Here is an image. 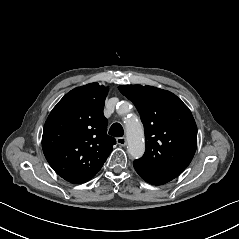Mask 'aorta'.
<instances>
[{"instance_id": "obj_1", "label": "aorta", "mask_w": 239, "mask_h": 239, "mask_svg": "<svg viewBox=\"0 0 239 239\" xmlns=\"http://www.w3.org/2000/svg\"><path fill=\"white\" fill-rule=\"evenodd\" d=\"M125 108V112H127L128 104L127 102H123L118 107V113H120L121 109ZM127 139H128V152L133 157H140L145 149L144 145V133L142 125L139 123L127 124Z\"/></svg>"}]
</instances>
